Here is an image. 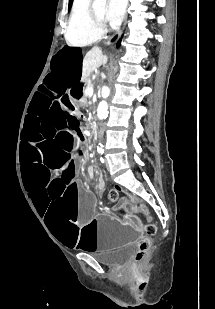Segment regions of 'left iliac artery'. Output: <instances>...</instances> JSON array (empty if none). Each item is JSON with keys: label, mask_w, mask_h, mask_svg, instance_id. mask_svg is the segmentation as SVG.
Segmentation results:
<instances>
[{"label": "left iliac artery", "mask_w": 215, "mask_h": 309, "mask_svg": "<svg viewBox=\"0 0 215 309\" xmlns=\"http://www.w3.org/2000/svg\"><path fill=\"white\" fill-rule=\"evenodd\" d=\"M101 162H104L103 158H101Z\"/></svg>", "instance_id": "obj_1"}]
</instances>
